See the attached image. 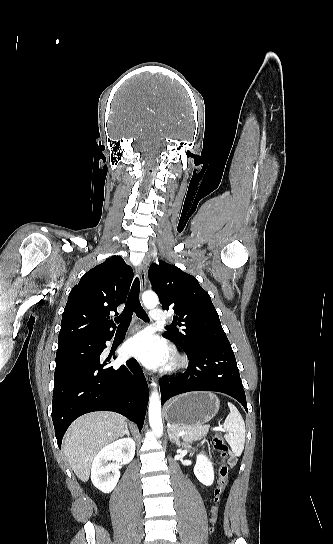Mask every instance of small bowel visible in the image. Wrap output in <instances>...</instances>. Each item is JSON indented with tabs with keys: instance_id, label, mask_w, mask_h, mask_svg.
<instances>
[{
	"instance_id": "small-bowel-1",
	"label": "small bowel",
	"mask_w": 333,
	"mask_h": 544,
	"mask_svg": "<svg viewBox=\"0 0 333 544\" xmlns=\"http://www.w3.org/2000/svg\"><path fill=\"white\" fill-rule=\"evenodd\" d=\"M228 463L230 466H234L236 464V458L233 455H231V457L228 460Z\"/></svg>"
}]
</instances>
